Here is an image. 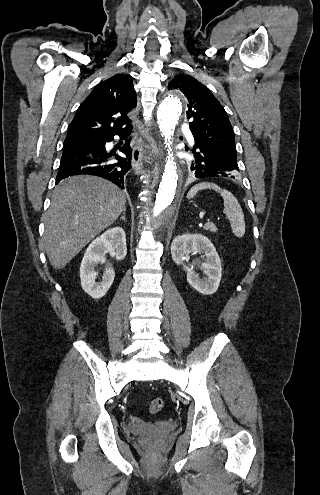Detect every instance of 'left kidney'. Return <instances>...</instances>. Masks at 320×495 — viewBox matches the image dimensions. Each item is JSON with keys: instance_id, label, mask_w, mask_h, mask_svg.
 <instances>
[{"instance_id": "1", "label": "left kidney", "mask_w": 320, "mask_h": 495, "mask_svg": "<svg viewBox=\"0 0 320 495\" xmlns=\"http://www.w3.org/2000/svg\"><path fill=\"white\" fill-rule=\"evenodd\" d=\"M189 253H202L205 262L201 264V269L206 275L200 279L199 275L192 269L185 266ZM171 255L174 262L183 265L187 272L188 283L199 293L211 295L216 292L221 281L222 267L221 260L211 241L201 234H184L175 237L171 244Z\"/></svg>"}]
</instances>
